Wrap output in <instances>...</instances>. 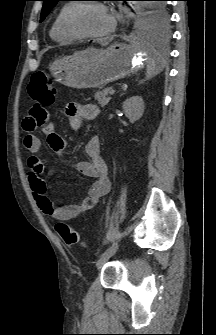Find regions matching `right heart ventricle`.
<instances>
[{"label":"right heart ventricle","mask_w":216,"mask_h":335,"mask_svg":"<svg viewBox=\"0 0 216 335\" xmlns=\"http://www.w3.org/2000/svg\"><path fill=\"white\" fill-rule=\"evenodd\" d=\"M71 4L69 3H66L64 5H62V7L58 10L53 22H52V25H51V28H50V37L55 41V42H58V43H61V44H66V43H70V42H73L76 38L68 35L67 33H65V31L63 30V27H62V19H63V16L65 14V12L67 11L68 7L70 6Z\"/></svg>","instance_id":"e07e8e85"}]
</instances>
